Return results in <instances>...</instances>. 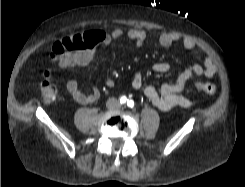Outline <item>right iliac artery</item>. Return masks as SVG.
Returning a JSON list of instances; mask_svg holds the SVG:
<instances>
[{
	"mask_svg": "<svg viewBox=\"0 0 245 187\" xmlns=\"http://www.w3.org/2000/svg\"><path fill=\"white\" fill-rule=\"evenodd\" d=\"M126 101H127V98H126L125 96H122V97L120 98V103H121V104H125Z\"/></svg>",
	"mask_w": 245,
	"mask_h": 187,
	"instance_id": "82829eb1",
	"label": "right iliac artery"
}]
</instances>
